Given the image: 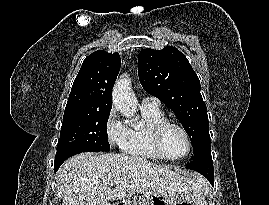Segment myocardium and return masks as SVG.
<instances>
[{
	"mask_svg": "<svg viewBox=\"0 0 269 205\" xmlns=\"http://www.w3.org/2000/svg\"><path fill=\"white\" fill-rule=\"evenodd\" d=\"M169 127H176L178 128L180 131H182V133L184 134L186 141H187V151L184 155L180 156V157H172L170 155H168L166 153V151L164 150L163 147V135L165 133V131L169 128ZM150 143L154 149V151L156 152V154L164 159V160H168V161H180L183 160L185 158H187L193 148V144H192V138L188 132V130L179 122H176L174 120H169V119H164L158 123H156L150 130Z\"/></svg>",
	"mask_w": 269,
	"mask_h": 205,
	"instance_id": "1",
	"label": "myocardium"
}]
</instances>
